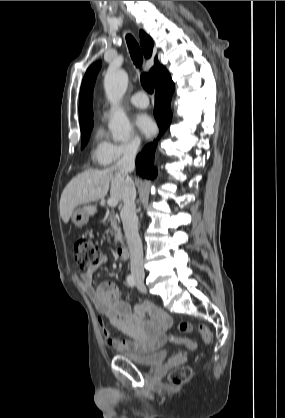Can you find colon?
Segmentation results:
<instances>
[{
  "label": "colon",
  "mask_w": 285,
  "mask_h": 418,
  "mask_svg": "<svg viewBox=\"0 0 285 418\" xmlns=\"http://www.w3.org/2000/svg\"><path fill=\"white\" fill-rule=\"evenodd\" d=\"M75 258L80 267H87L93 263H96L100 256L95 245L87 238H79L75 241ZM193 330L192 325L188 322L181 321L177 326L179 333H191ZM198 332L202 336L204 343L209 344L212 341V333L207 326H200ZM169 341L190 344L189 339L179 338L176 334L172 333L168 336ZM191 369L189 367H182L174 369L170 373V381L174 385H182L187 382L191 377Z\"/></svg>",
  "instance_id": "1"
}]
</instances>
